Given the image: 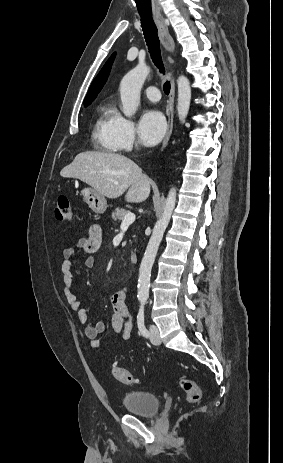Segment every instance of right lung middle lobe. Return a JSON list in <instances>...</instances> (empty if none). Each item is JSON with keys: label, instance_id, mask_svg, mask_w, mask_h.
<instances>
[{"label": "right lung middle lobe", "instance_id": "dd1d6c3e", "mask_svg": "<svg viewBox=\"0 0 283 463\" xmlns=\"http://www.w3.org/2000/svg\"><path fill=\"white\" fill-rule=\"evenodd\" d=\"M84 106H85V107H87V106H88V104H86V105H84Z\"/></svg>", "mask_w": 283, "mask_h": 463}]
</instances>
